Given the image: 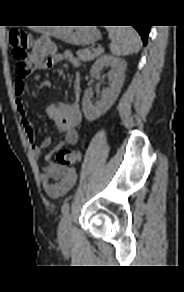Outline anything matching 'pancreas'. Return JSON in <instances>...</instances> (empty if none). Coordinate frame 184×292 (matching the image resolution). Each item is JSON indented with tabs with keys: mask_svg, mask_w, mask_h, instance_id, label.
I'll use <instances>...</instances> for the list:
<instances>
[{
	"mask_svg": "<svg viewBox=\"0 0 184 292\" xmlns=\"http://www.w3.org/2000/svg\"><path fill=\"white\" fill-rule=\"evenodd\" d=\"M102 52L97 49H81L76 52L77 58L81 61H90L98 57Z\"/></svg>",
	"mask_w": 184,
	"mask_h": 292,
	"instance_id": "pancreas-1",
	"label": "pancreas"
}]
</instances>
